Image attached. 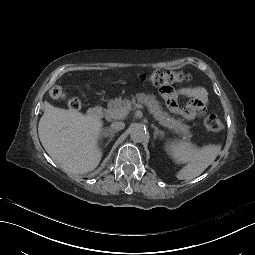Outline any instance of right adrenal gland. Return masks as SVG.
I'll use <instances>...</instances> for the list:
<instances>
[{"instance_id":"right-adrenal-gland-1","label":"right adrenal gland","mask_w":255,"mask_h":255,"mask_svg":"<svg viewBox=\"0 0 255 255\" xmlns=\"http://www.w3.org/2000/svg\"><path fill=\"white\" fill-rule=\"evenodd\" d=\"M117 131L112 130L111 128H106L103 132V137H110L109 141L106 143V146L112 141L113 136L115 135Z\"/></svg>"}]
</instances>
